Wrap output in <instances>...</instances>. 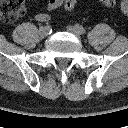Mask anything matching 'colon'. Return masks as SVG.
Here are the masks:
<instances>
[{
  "mask_svg": "<svg viewBox=\"0 0 128 128\" xmlns=\"http://www.w3.org/2000/svg\"><path fill=\"white\" fill-rule=\"evenodd\" d=\"M103 6L111 8L116 0H98ZM77 0H65L64 8L67 11L75 9ZM120 7L123 13L128 15V0H121ZM25 10L24 0H0V19L12 23L23 15Z\"/></svg>",
  "mask_w": 128,
  "mask_h": 128,
  "instance_id": "obj_1",
  "label": "colon"
}]
</instances>
